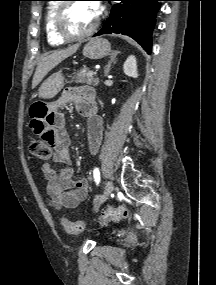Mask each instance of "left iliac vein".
<instances>
[{"mask_svg": "<svg viewBox=\"0 0 216 285\" xmlns=\"http://www.w3.org/2000/svg\"><path fill=\"white\" fill-rule=\"evenodd\" d=\"M113 190H114V185L112 181H108L106 183L104 194L101 198V201L104 202L109 197V195L113 192Z\"/></svg>", "mask_w": 216, "mask_h": 285, "instance_id": "left-iliac-vein-1", "label": "left iliac vein"}]
</instances>
